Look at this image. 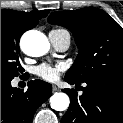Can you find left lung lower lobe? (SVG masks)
<instances>
[{"label":"left lung lower lobe","instance_id":"0a47b994","mask_svg":"<svg viewBox=\"0 0 123 123\" xmlns=\"http://www.w3.org/2000/svg\"><path fill=\"white\" fill-rule=\"evenodd\" d=\"M69 84L78 83L65 77ZM83 94L64 89L70 106L61 123H123V77L106 76L85 81Z\"/></svg>","mask_w":123,"mask_h":123}]
</instances>
